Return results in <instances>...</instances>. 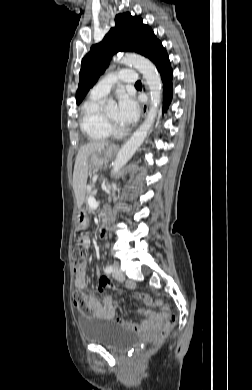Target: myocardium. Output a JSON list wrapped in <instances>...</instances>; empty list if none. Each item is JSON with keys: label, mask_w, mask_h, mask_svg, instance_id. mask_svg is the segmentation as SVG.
I'll use <instances>...</instances> for the list:
<instances>
[{"label": "myocardium", "mask_w": 252, "mask_h": 390, "mask_svg": "<svg viewBox=\"0 0 252 390\" xmlns=\"http://www.w3.org/2000/svg\"><path fill=\"white\" fill-rule=\"evenodd\" d=\"M103 118L111 132H118L121 130L120 126L116 122L109 119L106 114H103Z\"/></svg>", "instance_id": "1"}]
</instances>
